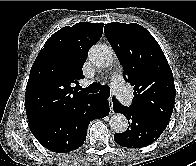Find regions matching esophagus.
Segmentation results:
<instances>
[{"label":"esophagus","mask_w":196,"mask_h":166,"mask_svg":"<svg viewBox=\"0 0 196 166\" xmlns=\"http://www.w3.org/2000/svg\"><path fill=\"white\" fill-rule=\"evenodd\" d=\"M109 104H110V111H111V113H114L112 97L109 98Z\"/></svg>","instance_id":"34e87169"}]
</instances>
